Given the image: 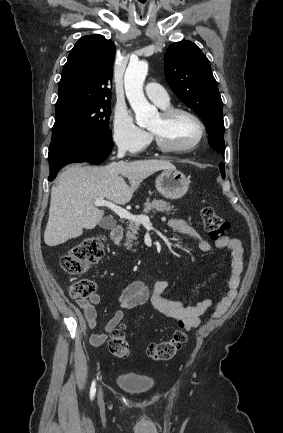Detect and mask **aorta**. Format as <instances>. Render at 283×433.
<instances>
[{"mask_svg":"<svg viewBox=\"0 0 283 433\" xmlns=\"http://www.w3.org/2000/svg\"><path fill=\"white\" fill-rule=\"evenodd\" d=\"M148 73L146 61L129 63L125 76L124 87L127 99L135 112L136 123L139 126L148 125L156 116L157 109L151 105L143 92V84Z\"/></svg>","mask_w":283,"mask_h":433,"instance_id":"obj_1","label":"aorta"}]
</instances>
